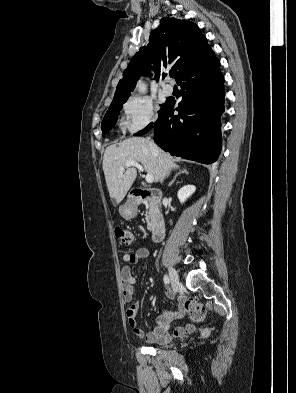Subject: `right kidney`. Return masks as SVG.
<instances>
[{"instance_id":"obj_1","label":"right kidney","mask_w":296,"mask_h":393,"mask_svg":"<svg viewBox=\"0 0 296 393\" xmlns=\"http://www.w3.org/2000/svg\"><path fill=\"white\" fill-rule=\"evenodd\" d=\"M195 190H196V187L194 185H186V186L182 187L177 193L179 201L181 203H184L185 200L187 198H189L195 192Z\"/></svg>"}]
</instances>
